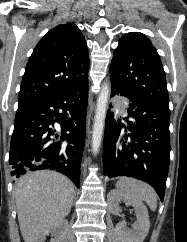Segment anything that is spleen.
<instances>
[{
  "label": "spleen",
  "instance_id": "3e777b00",
  "mask_svg": "<svg viewBox=\"0 0 187 242\" xmlns=\"http://www.w3.org/2000/svg\"><path fill=\"white\" fill-rule=\"evenodd\" d=\"M116 188L128 197L145 201L152 211L156 210L157 194L150 185L133 178L121 177Z\"/></svg>",
  "mask_w": 187,
  "mask_h": 242
}]
</instances>
